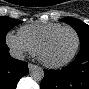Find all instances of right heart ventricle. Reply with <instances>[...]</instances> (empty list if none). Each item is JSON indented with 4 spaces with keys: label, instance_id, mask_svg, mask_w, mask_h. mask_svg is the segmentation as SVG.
<instances>
[{
    "label": "right heart ventricle",
    "instance_id": "right-heart-ventricle-1",
    "mask_svg": "<svg viewBox=\"0 0 89 89\" xmlns=\"http://www.w3.org/2000/svg\"><path fill=\"white\" fill-rule=\"evenodd\" d=\"M61 26L58 23L28 24L19 29L18 35L30 47L31 52L36 54L44 38Z\"/></svg>",
    "mask_w": 89,
    "mask_h": 89
}]
</instances>
